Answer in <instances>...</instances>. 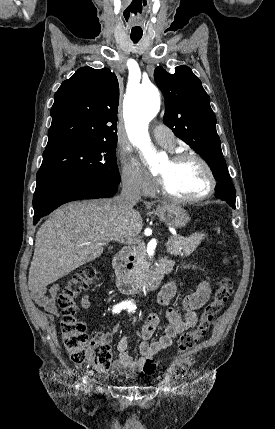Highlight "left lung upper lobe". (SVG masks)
<instances>
[{
	"label": "left lung upper lobe",
	"instance_id": "5c2ea615",
	"mask_svg": "<svg viewBox=\"0 0 275 429\" xmlns=\"http://www.w3.org/2000/svg\"><path fill=\"white\" fill-rule=\"evenodd\" d=\"M154 79L166 102L164 123L207 161L219 182L216 189H221L226 202L235 205L236 190L216 132V116L201 81L184 65L176 67L174 74L158 66Z\"/></svg>",
	"mask_w": 275,
	"mask_h": 429
}]
</instances>
